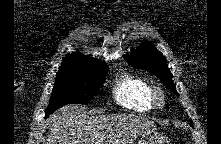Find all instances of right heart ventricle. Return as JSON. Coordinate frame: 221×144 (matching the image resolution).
<instances>
[{
	"label": "right heart ventricle",
	"instance_id": "right-heart-ventricle-1",
	"mask_svg": "<svg viewBox=\"0 0 221 144\" xmlns=\"http://www.w3.org/2000/svg\"><path fill=\"white\" fill-rule=\"evenodd\" d=\"M151 93L152 86L145 78L130 73L123 74L114 88L116 102L136 112L152 109Z\"/></svg>",
	"mask_w": 221,
	"mask_h": 144
}]
</instances>
